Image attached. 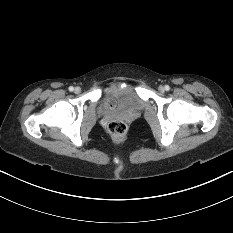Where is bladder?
Listing matches in <instances>:
<instances>
[{"instance_id": "obj_1", "label": "bladder", "mask_w": 233, "mask_h": 233, "mask_svg": "<svg viewBox=\"0 0 233 233\" xmlns=\"http://www.w3.org/2000/svg\"><path fill=\"white\" fill-rule=\"evenodd\" d=\"M143 107L138 92L128 84H114L102 96V108L106 112L134 113Z\"/></svg>"}]
</instances>
